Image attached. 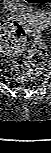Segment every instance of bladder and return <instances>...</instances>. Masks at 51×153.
Wrapping results in <instances>:
<instances>
[{
	"label": "bladder",
	"mask_w": 51,
	"mask_h": 153,
	"mask_svg": "<svg viewBox=\"0 0 51 153\" xmlns=\"http://www.w3.org/2000/svg\"><path fill=\"white\" fill-rule=\"evenodd\" d=\"M5 7L10 11H16L17 10V0H4Z\"/></svg>",
	"instance_id": "1"
}]
</instances>
